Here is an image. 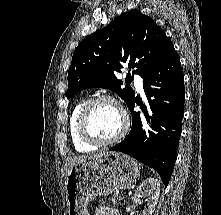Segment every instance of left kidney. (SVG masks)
<instances>
[{
  "label": "left kidney",
  "instance_id": "1",
  "mask_svg": "<svg viewBox=\"0 0 221 215\" xmlns=\"http://www.w3.org/2000/svg\"><path fill=\"white\" fill-rule=\"evenodd\" d=\"M160 194V180L157 178H147L137 188L132 200L134 204H141L143 198H146V206L143 215H152L158 203Z\"/></svg>",
  "mask_w": 221,
  "mask_h": 215
}]
</instances>
